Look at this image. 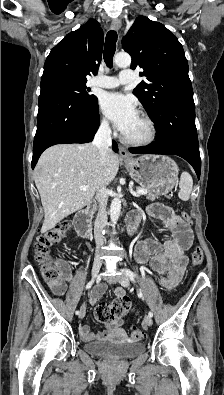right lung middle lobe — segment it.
I'll return each mask as SVG.
<instances>
[{
    "mask_svg": "<svg viewBox=\"0 0 224 395\" xmlns=\"http://www.w3.org/2000/svg\"><path fill=\"white\" fill-rule=\"evenodd\" d=\"M86 82L87 80L77 79L65 73L52 72L42 76L41 89L52 88L72 96L78 102L92 104L97 97L89 94Z\"/></svg>",
    "mask_w": 224,
    "mask_h": 395,
    "instance_id": "1",
    "label": "right lung middle lobe"
}]
</instances>
